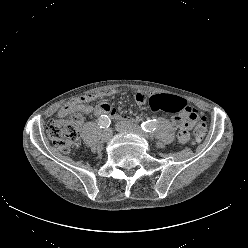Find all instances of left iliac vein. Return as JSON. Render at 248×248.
I'll list each match as a JSON object with an SVG mask.
<instances>
[{
  "mask_svg": "<svg viewBox=\"0 0 248 248\" xmlns=\"http://www.w3.org/2000/svg\"><path fill=\"white\" fill-rule=\"evenodd\" d=\"M115 128L117 131L122 132V133H132V134H136L140 137L145 138L146 140H150L152 138V136L146 132H144L142 129H140L137 126L132 125L129 122H118L115 125Z\"/></svg>",
  "mask_w": 248,
  "mask_h": 248,
  "instance_id": "left-iliac-vein-1",
  "label": "left iliac vein"
}]
</instances>
